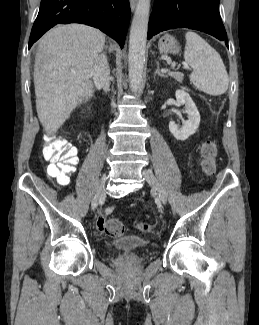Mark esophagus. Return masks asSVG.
Wrapping results in <instances>:
<instances>
[{"label": "esophagus", "mask_w": 259, "mask_h": 325, "mask_svg": "<svg viewBox=\"0 0 259 325\" xmlns=\"http://www.w3.org/2000/svg\"><path fill=\"white\" fill-rule=\"evenodd\" d=\"M137 0H130L131 10L134 11L136 8Z\"/></svg>", "instance_id": "esophagus-1"}]
</instances>
